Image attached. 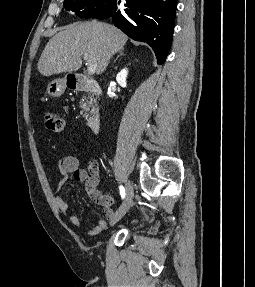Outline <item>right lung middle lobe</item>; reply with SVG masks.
Segmentation results:
<instances>
[{
    "instance_id": "1",
    "label": "right lung middle lobe",
    "mask_w": 255,
    "mask_h": 287,
    "mask_svg": "<svg viewBox=\"0 0 255 287\" xmlns=\"http://www.w3.org/2000/svg\"><path fill=\"white\" fill-rule=\"evenodd\" d=\"M66 10L83 18L103 19L117 8V0H64Z\"/></svg>"
}]
</instances>
